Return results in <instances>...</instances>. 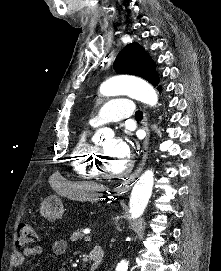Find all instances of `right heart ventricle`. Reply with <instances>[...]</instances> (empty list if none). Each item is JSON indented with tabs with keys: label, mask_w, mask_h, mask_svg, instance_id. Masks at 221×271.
Listing matches in <instances>:
<instances>
[{
	"label": "right heart ventricle",
	"mask_w": 221,
	"mask_h": 271,
	"mask_svg": "<svg viewBox=\"0 0 221 271\" xmlns=\"http://www.w3.org/2000/svg\"><path fill=\"white\" fill-rule=\"evenodd\" d=\"M78 141L76 147H79V151L91 154H72L73 164H82V166H75L76 176H80V179H101V174H98L99 164H95V161L92 160L94 155L99 153L98 144L88 142V138H79Z\"/></svg>",
	"instance_id": "right-heart-ventricle-1"
}]
</instances>
